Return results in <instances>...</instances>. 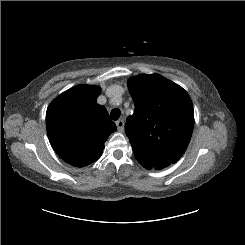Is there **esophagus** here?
Returning <instances> with one entry per match:
<instances>
[{
	"mask_svg": "<svg viewBox=\"0 0 245 245\" xmlns=\"http://www.w3.org/2000/svg\"><path fill=\"white\" fill-rule=\"evenodd\" d=\"M124 125L125 122L123 120V118L119 119L118 121H116V126L119 132H123L124 131Z\"/></svg>",
	"mask_w": 245,
	"mask_h": 245,
	"instance_id": "esophagus-1",
	"label": "esophagus"
}]
</instances>
